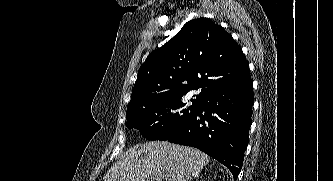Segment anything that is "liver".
Here are the masks:
<instances>
[{
  "instance_id": "obj_1",
  "label": "liver",
  "mask_w": 333,
  "mask_h": 181,
  "mask_svg": "<svg viewBox=\"0 0 333 181\" xmlns=\"http://www.w3.org/2000/svg\"><path fill=\"white\" fill-rule=\"evenodd\" d=\"M208 162L196 148L152 141L129 149L103 181H191Z\"/></svg>"
}]
</instances>
